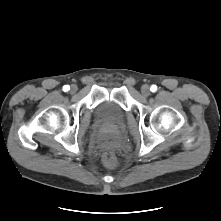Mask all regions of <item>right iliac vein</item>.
Wrapping results in <instances>:
<instances>
[{
    "label": "right iliac vein",
    "mask_w": 221,
    "mask_h": 221,
    "mask_svg": "<svg viewBox=\"0 0 221 221\" xmlns=\"http://www.w3.org/2000/svg\"><path fill=\"white\" fill-rule=\"evenodd\" d=\"M77 90H78V88H77L76 85H72L71 88H70L71 93H76Z\"/></svg>",
    "instance_id": "1"
}]
</instances>
